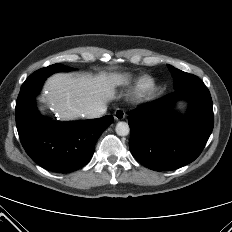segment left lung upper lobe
<instances>
[{
  "label": "left lung upper lobe",
  "instance_id": "5c2ea615",
  "mask_svg": "<svg viewBox=\"0 0 232 232\" xmlns=\"http://www.w3.org/2000/svg\"><path fill=\"white\" fill-rule=\"evenodd\" d=\"M168 67H169V69L173 75V78H174L175 90H177L181 87H184L186 85L195 83V82L200 80L197 76L183 72L179 69L174 68L171 65H168Z\"/></svg>",
  "mask_w": 232,
  "mask_h": 232
}]
</instances>
